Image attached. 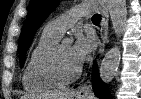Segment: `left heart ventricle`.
I'll use <instances>...</instances> for the list:
<instances>
[{"label":"left heart ventricle","instance_id":"left-heart-ventricle-1","mask_svg":"<svg viewBox=\"0 0 141 99\" xmlns=\"http://www.w3.org/2000/svg\"><path fill=\"white\" fill-rule=\"evenodd\" d=\"M58 66L64 75H70L78 69L71 56V46L61 45L58 53Z\"/></svg>","mask_w":141,"mask_h":99}]
</instances>
